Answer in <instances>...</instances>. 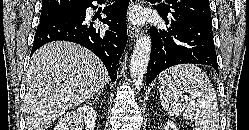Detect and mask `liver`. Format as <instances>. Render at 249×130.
<instances>
[{"instance_id":"6515ba94","label":"liver","mask_w":249,"mask_h":130,"mask_svg":"<svg viewBox=\"0 0 249 130\" xmlns=\"http://www.w3.org/2000/svg\"><path fill=\"white\" fill-rule=\"evenodd\" d=\"M27 130H45L59 116L102 90L109 75L88 49L58 41L39 48L26 74Z\"/></svg>"}]
</instances>
